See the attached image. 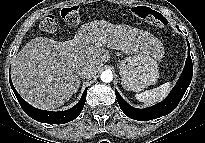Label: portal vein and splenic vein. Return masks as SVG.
<instances>
[{
    "instance_id": "portal-vein-and-splenic-vein-1",
    "label": "portal vein and splenic vein",
    "mask_w": 205,
    "mask_h": 143,
    "mask_svg": "<svg viewBox=\"0 0 205 143\" xmlns=\"http://www.w3.org/2000/svg\"><path fill=\"white\" fill-rule=\"evenodd\" d=\"M95 45H96L97 47L102 46V44H101V43H96Z\"/></svg>"
}]
</instances>
